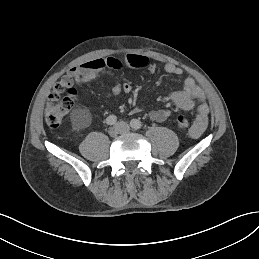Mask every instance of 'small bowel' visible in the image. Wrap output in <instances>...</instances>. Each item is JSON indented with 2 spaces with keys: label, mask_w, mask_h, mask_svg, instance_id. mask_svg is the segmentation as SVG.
Returning a JSON list of instances; mask_svg holds the SVG:
<instances>
[{
  "label": "small bowel",
  "mask_w": 259,
  "mask_h": 259,
  "mask_svg": "<svg viewBox=\"0 0 259 259\" xmlns=\"http://www.w3.org/2000/svg\"><path fill=\"white\" fill-rule=\"evenodd\" d=\"M124 67L145 68L151 73H154L157 69V66L151 63L146 56L127 54L122 58L111 56L88 61L78 67L72 68L69 71V76L73 77L77 83H85L96 79L102 74L111 75L115 70ZM164 71L167 74L175 76H180L183 73L180 67L171 63L164 66ZM132 90L131 84L127 82H117L105 95L107 97H113L121 93L130 94ZM170 100L181 110L190 111L196 107L197 114L190 130V135L194 138L201 136L208 125L209 106L206 102L204 91L195 83L194 79L191 77L185 78L182 89L172 92L170 94ZM140 111L141 109H135V112ZM169 115L170 112L166 109L149 112L150 118L158 122L164 121Z\"/></svg>",
  "instance_id": "obj_1"
}]
</instances>
